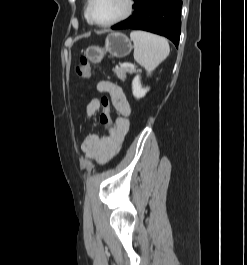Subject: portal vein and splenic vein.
<instances>
[{"label": "portal vein and splenic vein", "mask_w": 247, "mask_h": 265, "mask_svg": "<svg viewBox=\"0 0 247 265\" xmlns=\"http://www.w3.org/2000/svg\"><path fill=\"white\" fill-rule=\"evenodd\" d=\"M122 66L123 67H128V68H133V65L130 64V63H124Z\"/></svg>", "instance_id": "1"}]
</instances>
